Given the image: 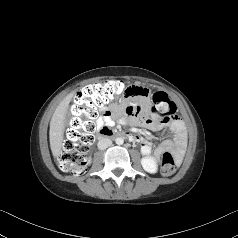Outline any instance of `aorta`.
Returning a JSON list of instances; mask_svg holds the SVG:
<instances>
[{
  "label": "aorta",
  "mask_w": 238,
  "mask_h": 238,
  "mask_svg": "<svg viewBox=\"0 0 238 238\" xmlns=\"http://www.w3.org/2000/svg\"><path fill=\"white\" fill-rule=\"evenodd\" d=\"M116 144L122 145L124 143V139L122 137H118L115 139Z\"/></svg>",
  "instance_id": "aorta-1"
}]
</instances>
